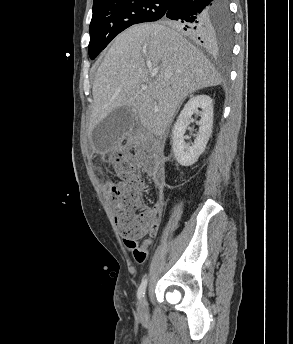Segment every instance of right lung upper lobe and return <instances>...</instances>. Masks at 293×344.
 Returning a JSON list of instances; mask_svg holds the SVG:
<instances>
[{
	"label": "right lung upper lobe",
	"mask_w": 293,
	"mask_h": 344,
	"mask_svg": "<svg viewBox=\"0 0 293 344\" xmlns=\"http://www.w3.org/2000/svg\"><path fill=\"white\" fill-rule=\"evenodd\" d=\"M104 1H113V0H94L93 6L97 5L100 2H104Z\"/></svg>",
	"instance_id": "1"
}]
</instances>
